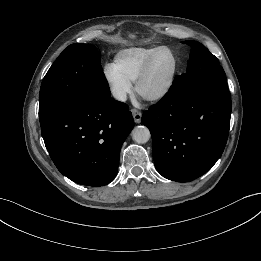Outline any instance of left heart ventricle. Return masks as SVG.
<instances>
[{"instance_id": "1", "label": "left heart ventricle", "mask_w": 261, "mask_h": 261, "mask_svg": "<svg viewBox=\"0 0 261 261\" xmlns=\"http://www.w3.org/2000/svg\"><path fill=\"white\" fill-rule=\"evenodd\" d=\"M173 68V57L168 51H161L154 59L149 75L142 86L144 93H153L167 82Z\"/></svg>"}]
</instances>
